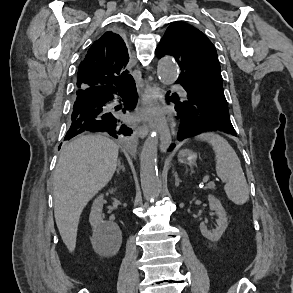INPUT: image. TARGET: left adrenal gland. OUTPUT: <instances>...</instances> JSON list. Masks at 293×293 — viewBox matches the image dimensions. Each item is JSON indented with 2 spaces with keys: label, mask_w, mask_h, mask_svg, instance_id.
Listing matches in <instances>:
<instances>
[{
  "label": "left adrenal gland",
  "mask_w": 293,
  "mask_h": 293,
  "mask_svg": "<svg viewBox=\"0 0 293 293\" xmlns=\"http://www.w3.org/2000/svg\"><path fill=\"white\" fill-rule=\"evenodd\" d=\"M174 176H175V186L178 187L181 180L178 178L177 172L174 173Z\"/></svg>",
  "instance_id": "a2214340"
}]
</instances>
